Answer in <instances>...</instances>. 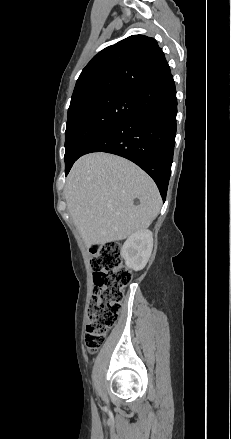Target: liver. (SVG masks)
Here are the masks:
<instances>
[{
  "label": "liver",
  "instance_id": "1",
  "mask_svg": "<svg viewBox=\"0 0 231 439\" xmlns=\"http://www.w3.org/2000/svg\"><path fill=\"white\" fill-rule=\"evenodd\" d=\"M64 192L69 213L88 247L146 230L162 204L156 184L144 171L108 153L79 158ZM136 198L139 205L134 204Z\"/></svg>",
  "mask_w": 231,
  "mask_h": 439
}]
</instances>
